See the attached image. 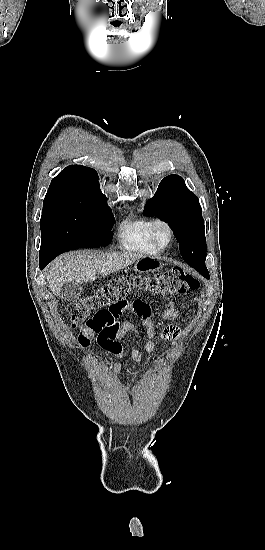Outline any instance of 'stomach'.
Here are the masks:
<instances>
[{
  "label": "stomach",
  "instance_id": "obj_1",
  "mask_svg": "<svg viewBox=\"0 0 265 550\" xmlns=\"http://www.w3.org/2000/svg\"><path fill=\"white\" fill-rule=\"evenodd\" d=\"M163 263L156 257H144L136 261L134 270L138 273L154 272L161 269Z\"/></svg>",
  "mask_w": 265,
  "mask_h": 550
}]
</instances>
